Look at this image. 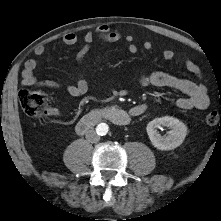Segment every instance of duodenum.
<instances>
[{
    "instance_id": "1",
    "label": "duodenum",
    "mask_w": 221,
    "mask_h": 221,
    "mask_svg": "<svg viewBox=\"0 0 221 221\" xmlns=\"http://www.w3.org/2000/svg\"><path fill=\"white\" fill-rule=\"evenodd\" d=\"M147 110V106L139 105L135 107V113H128L117 106H110L100 108L82 117L76 124V132L78 134H85L92 127L102 120H108L118 126L128 125L133 116H139Z\"/></svg>"
}]
</instances>
